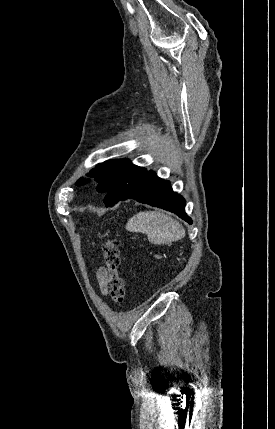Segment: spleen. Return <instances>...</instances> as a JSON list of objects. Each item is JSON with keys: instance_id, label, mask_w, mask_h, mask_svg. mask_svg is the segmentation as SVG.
<instances>
[{"instance_id": "obj_1", "label": "spleen", "mask_w": 275, "mask_h": 429, "mask_svg": "<svg viewBox=\"0 0 275 429\" xmlns=\"http://www.w3.org/2000/svg\"><path fill=\"white\" fill-rule=\"evenodd\" d=\"M126 229L146 234L149 242L155 245L178 241L185 236V229L177 220L159 211L137 213L128 220Z\"/></svg>"}]
</instances>
